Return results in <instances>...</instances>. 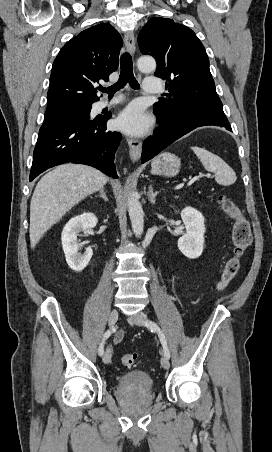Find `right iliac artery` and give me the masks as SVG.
Segmentation results:
<instances>
[{
  "label": "right iliac artery",
  "instance_id": "82829eb1",
  "mask_svg": "<svg viewBox=\"0 0 272 452\" xmlns=\"http://www.w3.org/2000/svg\"><path fill=\"white\" fill-rule=\"evenodd\" d=\"M111 334H112V329H109V330H107V331L104 333L103 338H102V342H101V344H100V346H99V348H98V354H99L100 356H102L103 353H104V343H105V340L108 339V338L111 336Z\"/></svg>",
  "mask_w": 272,
  "mask_h": 452
}]
</instances>
